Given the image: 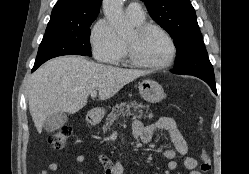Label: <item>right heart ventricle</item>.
Returning a JSON list of instances; mask_svg holds the SVG:
<instances>
[{
	"label": "right heart ventricle",
	"instance_id": "right-heart-ventricle-1",
	"mask_svg": "<svg viewBox=\"0 0 249 174\" xmlns=\"http://www.w3.org/2000/svg\"><path fill=\"white\" fill-rule=\"evenodd\" d=\"M130 20L132 21V23H133L135 26H139V25H141V24L144 23V18H141V19L130 18Z\"/></svg>",
	"mask_w": 249,
	"mask_h": 174
}]
</instances>
